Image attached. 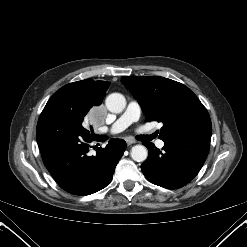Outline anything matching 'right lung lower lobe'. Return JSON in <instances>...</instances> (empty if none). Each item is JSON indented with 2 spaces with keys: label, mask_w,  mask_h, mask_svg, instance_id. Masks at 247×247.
I'll list each match as a JSON object with an SVG mask.
<instances>
[{
  "label": "right lung lower lobe",
  "mask_w": 247,
  "mask_h": 247,
  "mask_svg": "<svg viewBox=\"0 0 247 247\" xmlns=\"http://www.w3.org/2000/svg\"><path fill=\"white\" fill-rule=\"evenodd\" d=\"M44 165L65 191L90 195L112 180L126 142L111 139L96 156H88L89 144L98 136L73 119L55 112H42L36 129Z\"/></svg>",
  "instance_id": "right-lung-lower-lobe-1"
}]
</instances>
